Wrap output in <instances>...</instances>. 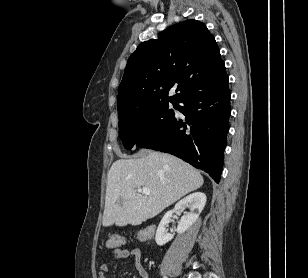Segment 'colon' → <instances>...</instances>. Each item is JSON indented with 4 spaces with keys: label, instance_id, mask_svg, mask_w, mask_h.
<instances>
[{
    "label": "colon",
    "instance_id": "obj_1",
    "mask_svg": "<svg viewBox=\"0 0 308 278\" xmlns=\"http://www.w3.org/2000/svg\"><path fill=\"white\" fill-rule=\"evenodd\" d=\"M155 226H144L143 230H139V237L143 242H151L156 235ZM137 238L138 240L140 238ZM125 243V239L120 235H112L107 239V247L111 249H118Z\"/></svg>",
    "mask_w": 308,
    "mask_h": 278
}]
</instances>
